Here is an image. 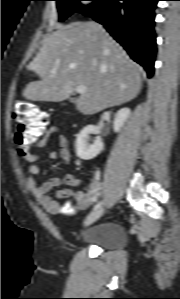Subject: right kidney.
<instances>
[{
    "instance_id": "obj_1",
    "label": "right kidney",
    "mask_w": 180,
    "mask_h": 299,
    "mask_svg": "<svg viewBox=\"0 0 180 299\" xmlns=\"http://www.w3.org/2000/svg\"><path fill=\"white\" fill-rule=\"evenodd\" d=\"M129 116V108H122L116 113L113 124L115 132L120 131ZM98 133L99 128L95 125H88L80 131L75 143L76 154L79 158L83 160H90L95 158L103 150L104 144L99 136L96 137L92 144H89L88 142L90 134Z\"/></svg>"
}]
</instances>
